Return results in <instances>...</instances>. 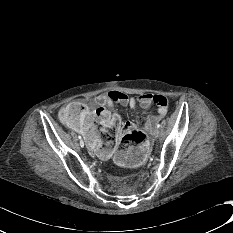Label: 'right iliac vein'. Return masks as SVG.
I'll use <instances>...</instances> for the list:
<instances>
[{
    "label": "right iliac vein",
    "mask_w": 233,
    "mask_h": 233,
    "mask_svg": "<svg viewBox=\"0 0 233 233\" xmlns=\"http://www.w3.org/2000/svg\"><path fill=\"white\" fill-rule=\"evenodd\" d=\"M81 145H84V142H83L82 140L80 141V146H81ZM83 147H84V146H83Z\"/></svg>",
    "instance_id": "63e3f726"
}]
</instances>
